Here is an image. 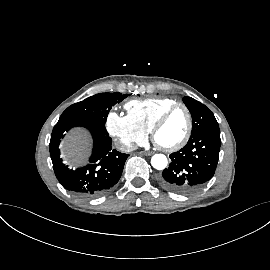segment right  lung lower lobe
Returning a JSON list of instances; mask_svg holds the SVG:
<instances>
[{"label":"right lung lower lobe","instance_id":"obj_1","mask_svg":"<svg viewBox=\"0 0 270 270\" xmlns=\"http://www.w3.org/2000/svg\"><path fill=\"white\" fill-rule=\"evenodd\" d=\"M74 127H83L90 131L93 149L88 165L70 170L62 163L58 147L64 133ZM111 142L105 125L97 121L91 119L58 121L51 134L49 150L53 169L60 184L66 190L86 198L99 196L113 187L121 177L128 155L113 149Z\"/></svg>","mask_w":270,"mask_h":270}]
</instances>
